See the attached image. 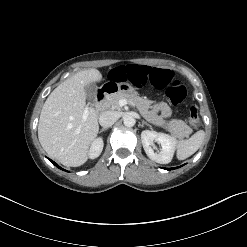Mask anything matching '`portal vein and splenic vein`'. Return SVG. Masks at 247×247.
Returning <instances> with one entry per match:
<instances>
[{"label":"portal vein and splenic vein","mask_w":247,"mask_h":247,"mask_svg":"<svg viewBox=\"0 0 247 247\" xmlns=\"http://www.w3.org/2000/svg\"><path fill=\"white\" fill-rule=\"evenodd\" d=\"M126 104H127V101L124 100V99H122V100L119 101V105H120V106H124V105H126ZM132 105H133V104H132ZM88 113H89L88 109H85L84 112H83V115H82V119H83V120H86V118H87V116H88Z\"/></svg>","instance_id":"obj_1"}]
</instances>
